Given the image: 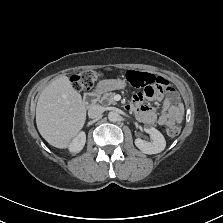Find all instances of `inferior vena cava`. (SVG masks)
I'll return each mask as SVG.
<instances>
[{"mask_svg":"<svg viewBox=\"0 0 223 223\" xmlns=\"http://www.w3.org/2000/svg\"><path fill=\"white\" fill-rule=\"evenodd\" d=\"M104 111V108L100 105L90 106L88 109V116L92 119L99 117Z\"/></svg>","mask_w":223,"mask_h":223,"instance_id":"1","label":"inferior vena cava"}]
</instances>
